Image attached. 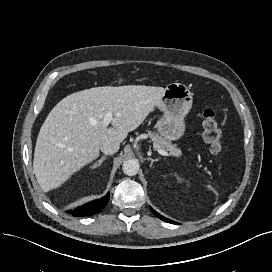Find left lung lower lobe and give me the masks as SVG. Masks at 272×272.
<instances>
[{"label":"left lung lower lobe","mask_w":272,"mask_h":272,"mask_svg":"<svg viewBox=\"0 0 272 272\" xmlns=\"http://www.w3.org/2000/svg\"><path fill=\"white\" fill-rule=\"evenodd\" d=\"M150 209H151L152 212H153L158 218H160L161 220L166 221V222H168V223H172V224H178L177 222L172 221V220H170V219H167V218H165L164 216L160 215L159 213H157V212H156L154 209H152L151 207H150Z\"/></svg>","instance_id":"0a47b994"}]
</instances>
